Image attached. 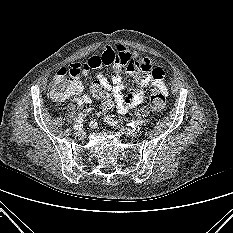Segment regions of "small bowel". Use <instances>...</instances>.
Masks as SVG:
<instances>
[{
	"instance_id": "obj_1",
	"label": "small bowel",
	"mask_w": 233,
	"mask_h": 233,
	"mask_svg": "<svg viewBox=\"0 0 233 233\" xmlns=\"http://www.w3.org/2000/svg\"><path fill=\"white\" fill-rule=\"evenodd\" d=\"M104 65L112 66L114 69L111 81L101 72L97 74V81L112 92L119 113H127L141 104L144 100V90L150 84L164 94L167 93V87L163 82L164 70L154 60L135 52L132 53L127 47L120 44L116 47L106 45L100 55H93L82 64L74 63L70 66L68 72L71 75V80L69 82V95L66 99L74 100L79 106L90 104L92 98L89 94L77 97L84 90L80 75L86 76L92 69ZM122 71L130 74L137 83V89L127 94L124 93L125 86L121 77ZM60 72H66V69L61 68L58 73Z\"/></svg>"
}]
</instances>
